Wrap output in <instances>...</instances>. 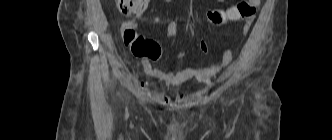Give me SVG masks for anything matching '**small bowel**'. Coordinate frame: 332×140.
<instances>
[{
    "mask_svg": "<svg viewBox=\"0 0 332 140\" xmlns=\"http://www.w3.org/2000/svg\"><path fill=\"white\" fill-rule=\"evenodd\" d=\"M165 2H170L171 0H163ZM218 2H224L225 0H217ZM252 25V19H247L241 31L240 39H243L248 34ZM200 50L204 53L208 51V44L205 40L200 41ZM185 55V50H181L178 53V59H182ZM233 59V51L231 49H226L222 56V61L218 65L212 66H192L185 67L176 71L163 72L157 68H154L148 59H142L141 65L144 72L151 78H155L164 83L166 87H177L189 80H196L198 83L207 84L210 82L211 78L219 73L221 70L226 68ZM145 85H148L145 83ZM153 89H157L158 86L154 83L150 84Z\"/></svg>",
    "mask_w": 332,
    "mask_h": 140,
    "instance_id": "1",
    "label": "small bowel"
}]
</instances>
